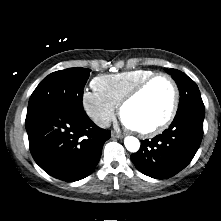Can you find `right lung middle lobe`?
<instances>
[{"label":"right lung middle lobe","mask_w":221,"mask_h":221,"mask_svg":"<svg viewBox=\"0 0 221 221\" xmlns=\"http://www.w3.org/2000/svg\"><path fill=\"white\" fill-rule=\"evenodd\" d=\"M90 71L86 68H68L49 74L32 93L27 114L57 106L83 109V89Z\"/></svg>","instance_id":"dd1d6c3e"}]
</instances>
